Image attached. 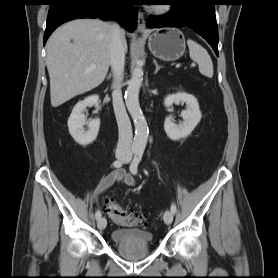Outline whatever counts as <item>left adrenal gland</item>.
Wrapping results in <instances>:
<instances>
[{
	"mask_svg": "<svg viewBox=\"0 0 278 278\" xmlns=\"http://www.w3.org/2000/svg\"><path fill=\"white\" fill-rule=\"evenodd\" d=\"M153 63H154V64H155V66H156V69H155V72H154V74H156V73L159 71V69H161V68H162V66L158 65V63L156 62V60H155V59H153Z\"/></svg>",
	"mask_w": 278,
	"mask_h": 278,
	"instance_id": "a2214340",
	"label": "left adrenal gland"
}]
</instances>
